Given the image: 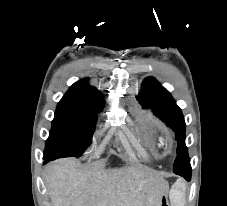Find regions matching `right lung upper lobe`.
Here are the masks:
<instances>
[{"label": "right lung upper lobe", "instance_id": "1", "mask_svg": "<svg viewBox=\"0 0 227 206\" xmlns=\"http://www.w3.org/2000/svg\"><path fill=\"white\" fill-rule=\"evenodd\" d=\"M64 97L75 99H98L102 98V94L95 87L89 86L86 80H80L70 87Z\"/></svg>", "mask_w": 227, "mask_h": 206}]
</instances>
